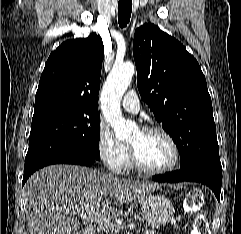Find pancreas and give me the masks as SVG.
<instances>
[{
  "mask_svg": "<svg viewBox=\"0 0 241 234\" xmlns=\"http://www.w3.org/2000/svg\"><path fill=\"white\" fill-rule=\"evenodd\" d=\"M118 230L119 229H117L116 231L110 230L109 234H117ZM145 234H159V233L152 229V230H147Z\"/></svg>",
  "mask_w": 241,
  "mask_h": 234,
  "instance_id": "obj_1",
  "label": "pancreas"
}]
</instances>
